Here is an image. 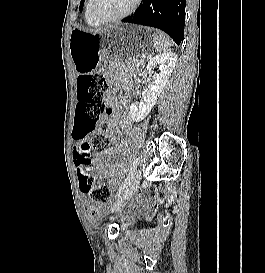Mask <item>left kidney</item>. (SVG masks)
<instances>
[{
	"instance_id": "obj_1",
	"label": "left kidney",
	"mask_w": 265,
	"mask_h": 273,
	"mask_svg": "<svg viewBox=\"0 0 265 273\" xmlns=\"http://www.w3.org/2000/svg\"><path fill=\"white\" fill-rule=\"evenodd\" d=\"M176 62L177 55L175 53H162L149 60L146 69L153 74L151 76L152 84L142 91V101L140 103L131 104L129 114L133 121L139 122L150 113L168 82ZM156 65H159V72L153 73L152 69Z\"/></svg>"
}]
</instances>
